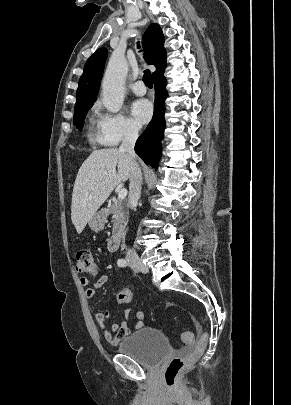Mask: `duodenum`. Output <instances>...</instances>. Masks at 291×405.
I'll return each mask as SVG.
<instances>
[{
    "mask_svg": "<svg viewBox=\"0 0 291 405\" xmlns=\"http://www.w3.org/2000/svg\"><path fill=\"white\" fill-rule=\"evenodd\" d=\"M121 240L122 234L120 232H117L114 235H112L107 243L108 250L111 252L117 251L120 247Z\"/></svg>",
    "mask_w": 291,
    "mask_h": 405,
    "instance_id": "obj_1",
    "label": "duodenum"
}]
</instances>
